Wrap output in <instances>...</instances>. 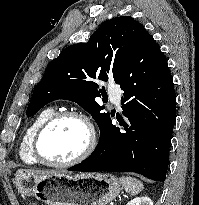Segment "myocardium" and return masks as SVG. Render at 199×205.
I'll return each mask as SVG.
<instances>
[{
	"mask_svg": "<svg viewBox=\"0 0 199 205\" xmlns=\"http://www.w3.org/2000/svg\"><path fill=\"white\" fill-rule=\"evenodd\" d=\"M63 118H76L85 125L87 130L86 144L82 149V151L77 156L67 161L54 162V161L47 160L44 158V156L40 151V139L44 134V132L51 125H53L55 122ZM95 146H96V131L90 118L85 113L77 110H64L52 114L35 132L32 139V154L35 157V159L43 165L51 166V167H68L86 159L93 152Z\"/></svg>",
	"mask_w": 199,
	"mask_h": 205,
	"instance_id": "1",
	"label": "myocardium"
}]
</instances>
